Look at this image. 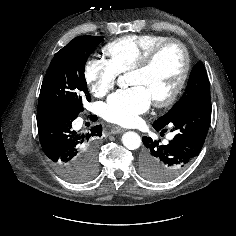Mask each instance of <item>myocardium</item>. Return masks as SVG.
Returning a JSON list of instances; mask_svg holds the SVG:
<instances>
[{"label":"myocardium","instance_id":"myocardium-1","mask_svg":"<svg viewBox=\"0 0 236 236\" xmlns=\"http://www.w3.org/2000/svg\"><path fill=\"white\" fill-rule=\"evenodd\" d=\"M176 45L180 48L183 54V67L180 76L173 88V90L164 98L153 100L156 107L164 108L172 105L183 90L190 72V56L186 46L178 39H168L161 42L150 49L146 55L131 69L132 72H142L151 67L156 57L168 46Z\"/></svg>","mask_w":236,"mask_h":236}]
</instances>
